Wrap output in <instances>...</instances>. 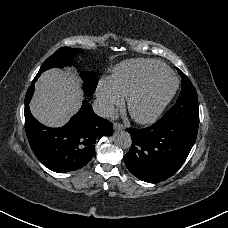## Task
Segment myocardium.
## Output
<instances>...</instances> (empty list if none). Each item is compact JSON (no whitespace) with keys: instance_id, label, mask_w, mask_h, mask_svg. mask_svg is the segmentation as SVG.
Returning a JSON list of instances; mask_svg holds the SVG:
<instances>
[{"instance_id":"1","label":"myocardium","mask_w":228,"mask_h":228,"mask_svg":"<svg viewBox=\"0 0 228 228\" xmlns=\"http://www.w3.org/2000/svg\"><path fill=\"white\" fill-rule=\"evenodd\" d=\"M170 77H155L152 79L147 80L144 82L139 88H137L128 98L127 101V107L130 112V114L133 116V118L141 124H152L156 121L158 116L161 114V112L164 110L166 105L171 100L174 92L175 87L167 94V96L155 107V109L147 116H141L137 114L134 110V104L135 102L145 93L147 90L154 85L155 83L162 81V80H168Z\"/></svg>"}]
</instances>
